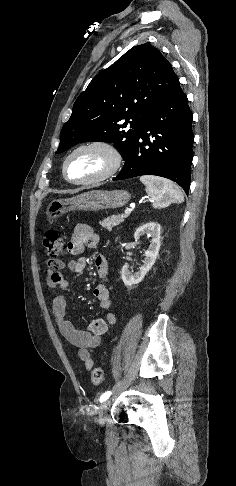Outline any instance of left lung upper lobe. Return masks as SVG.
<instances>
[{"label":"left lung upper lobe","mask_w":236,"mask_h":486,"mask_svg":"<svg viewBox=\"0 0 236 486\" xmlns=\"http://www.w3.org/2000/svg\"><path fill=\"white\" fill-rule=\"evenodd\" d=\"M177 82L170 62L157 48H131L79 95L56 153L85 141H105L114 143L125 160L146 120Z\"/></svg>","instance_id":"1"}]
</instances>
